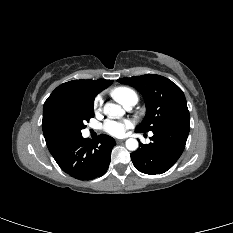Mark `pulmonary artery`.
I'll list each match as a JSON object with an SVG mask.
<instances>
[{"label":"pulmonary artery","instance_id":"obj_1","mask_svg":"<svg viewBox=\"0 0 233 233\" xmlns=\"http://www.w3.org/2000/svg\"><path fill=\"white\" fill-rule=\"evenodd\" d=\"M134 105H135V103H134V102H131V103L126 104V105H125V108H126L127 110H130Z\"/></svg>","mask_w":233,"mask_h":233}]
</instances>
